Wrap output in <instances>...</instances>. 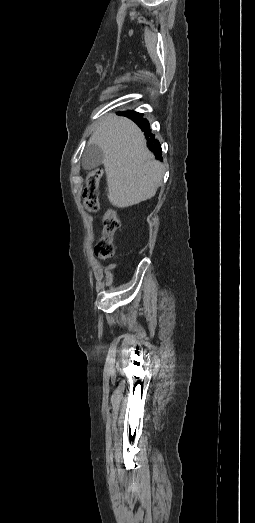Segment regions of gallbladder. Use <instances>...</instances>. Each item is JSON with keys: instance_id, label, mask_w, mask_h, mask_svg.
<instances>
[{"instance_id": "gallbladder-1", "label": "gallbladder", "mask_w": 255, "mask_h": 523, "mask_svg": "<svg viewBox=\"0 0 255 523\" xmlns=\"http://www.w3.org/2000/svg\"><path fill=\"white\" fill-rule=\"evenodd\" d=\"M103 160V150H101L99 146H96V144H89V146L85 148L81 158L82 168H84V170H94V168L101 166Z\"/></svg>"}]
</instances>
